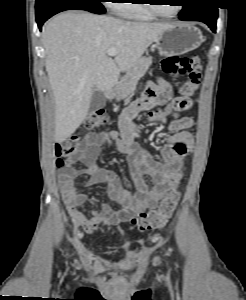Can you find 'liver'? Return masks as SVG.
Here are the masks:
<instances>
[{
    "label": "liver",
    "instance_id": "obj_1",
    "mask_svg": "<svg viewBox=\"0 0 246 300\" xmlns=\"http://www.w3.org/2000/svg\"><path fill=\"white\" fill-rule=\"evenodd\" d=\"M171 25L130 22L85 12H64L42 32L45 67L55 101L54 140L63 142L82 124L93 87L110 91ZM115 48V59L107 50Z\"/></svg>",
    "mask_w": 246,
    "mask_h": 300
}]
</instances>
